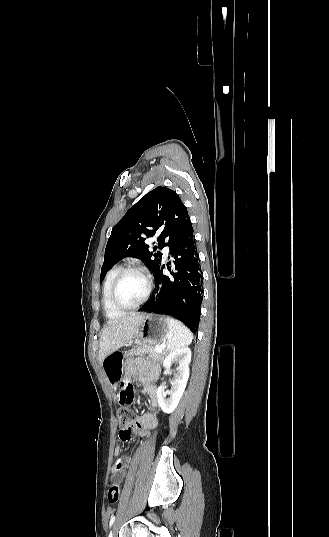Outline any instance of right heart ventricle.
I'll return each instance as SVG.
<instances>
[{
    "label": "right heart ventricle",
    "instance_id": "e07e8e85",
    "mask_svg": "<svg viewBox=\"0 0 329 537\" xmlns=\"http://www.w3.org/2000/svg\"><path fill=\"white\" fill-rule=\"evenodd\" d=\"M121 270L119 265L113 266L107 273L103 285H102V294L101 302L105 314L108 318H117L123 314V311L117 310L111 303L110 292L113 281L117 276L118 272Z\"/></svg>",
    "mask_w": 329,
    "mask_h": 537
}]
</instances>
